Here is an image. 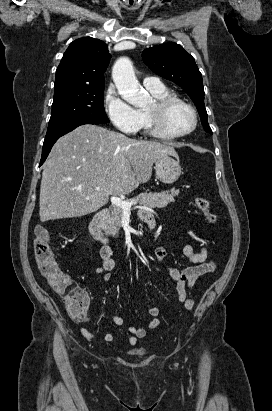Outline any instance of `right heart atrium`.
Here are the masks:
<instances>
[{
    "mask_svg": "<svg viewBox=\"0 0 272 411\" xmlns=\"http://www.w3.org/2000/svg\"><path fill=\"white\" fill-rule=\"evenodd\" d=\"M104 109L110 121L120 131L134 134L141 128V113L124 100L114 86H110L105 93Z\"/></svg>",
    "mask_w": 272,
    "mask_h": 411,
    "instance_id": "right-heart-atrium-1",
    "label": "right heart atrium"
}]
</instances>
